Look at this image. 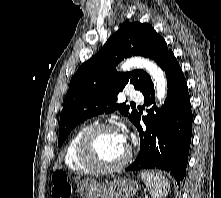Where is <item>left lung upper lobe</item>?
I'll return each mask as SVG.
<instances>
[{
    "mask_svg": "<svg viewBox=\"0 0 221 198\" xmlns=\"http://www.w3.org/2000/svg\"><path fill=\"white\" fill-rule=\"evenodd\" d=\"M171 53L165 40L149 24L135 22L121 27L71 78L60 115L58 146H62L77 124L104 112L118 109L134 123L138 112L129 113L125 103L115 104L117 94L129 83L142 91L152 80L142 70L118 73L117 64L124 58L141 55L153 59L162 68Z\"/></svg>",
    "mask_w": 221,
    "mask_h": 198,
    "instance_id": "obj_1",
    "label": "left lung upper lobe"
}]
</instances>
